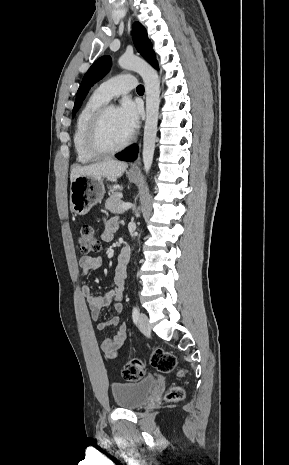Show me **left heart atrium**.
<instances>
[{
  "mask_svg": "<svg viewBox=\"0 0 289 465\" xmlns=\"http://www.w3.org/2000/svg\"><path fill=\"white\" fill-rule=\"evenodd\" d=\"M116 112L123 131L131 137L139 125L141 112L139 105L130 99H124Z\"/></svg>",
  "mask_w": 289,
  "mask_h": 465,
  "instance_id": "obj_1",
  "label": "left heart atrium"
}]
</instances>
